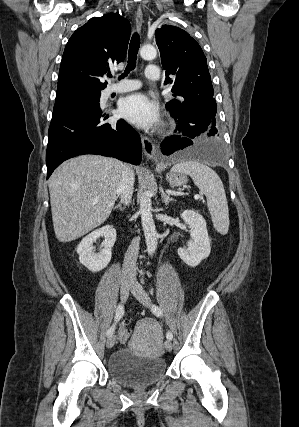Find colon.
Returning <instances> with one entry per match:
<instances>
[{
  "label": "colon",
  "instance_id": "colon-1",
  "mask_svg": "<svg viewBox=\"0 0 299 427\" xmlns=\"http://www.w3.org/2000/svg\"><path fill=\"white\" fill-rule=\"evenodd\" d=\"M121 333H122L123 340L127 341V339L129 338V335H130L129 331L126 328H123L121 330Z\"/></svg>",
  "mask_w": 299,
  "mask_h": 427
}]
</instances>
